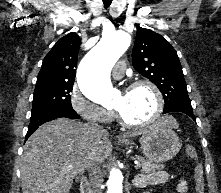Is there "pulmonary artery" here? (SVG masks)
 Here are the masks:
<instances>
[{
    "mask_svg": "<svg viewBox=\"0 0 221 193\" xmlns=\"http://www.w3.org/2000/svg\"><path fill=\"white\" fill-rule=\"evenodd\" d=\"M125 73V63L123 61H119L113 71H112V76L116 79L122 78Z\"/></svg>",
    "mask_w": 221,
    "mask_h": 193,
    "instance_id": "pulmonary-artery-1",
    "label": "pulmonary artery"
}]
</instances>
